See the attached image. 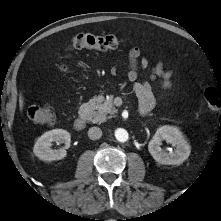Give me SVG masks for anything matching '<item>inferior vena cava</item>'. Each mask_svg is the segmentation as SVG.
Instances as JSON below:
<instances>
[{
	"label": "inferior vena cava",
	"mask_w": 221,
	"mask_h": 221,
	"mask_svg": "<svg viewBox=\"0 0 221 221\" xmlns=\"http://www.w3.org/2000/svg\"><path fill=\"white\" fill-rule=\"evenodd\" d=\"M101 136H102V130L99 127H91L88 130V137L91 140H97L101 138Z\"/></svg>",
	"instance_id": "1"
}]
</instances>
